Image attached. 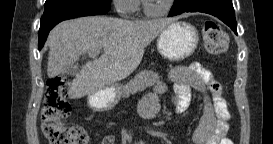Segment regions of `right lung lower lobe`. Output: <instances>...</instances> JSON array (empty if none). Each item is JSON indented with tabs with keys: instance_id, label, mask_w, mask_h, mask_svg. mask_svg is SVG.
<instances>
[{
	"instance_id": "obj_1",
	"label": "right lung lower lobe",
	"mask_w": 273,
	"mask_h": 144,
	"mask_svg": "<svg viewBox=\"0 0 273 144\" xmlns=\"http://www.w3.org/2000/svg\"><path fill=\"white\" fill-rule=\"evenodd\" d=\"M110 9V2L103 0H63L45 8L39 29V50L42 49L49 31L67 19L103 15Z\"/></svg>"
}]
</instances>
